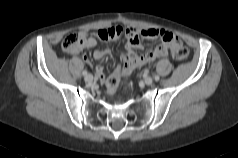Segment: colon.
<instances>
[{
	"mask_svg": "<svg viewBox=\"0 0 238 158\" xmlns=\"http://www.w3.org/2000/svg\"><path fill=\"white\" fill-rule=\"evenodd\" d=\"M98 36L102 40H108L115 36L114 32L111 29H104L98 32ZM83 40L78 33H70L68 34L62 43V49L66 53H78L82 49ZM172 57L177 61H183L188 57V50L187 48L181 44L179 41H175L170 49ZM134 58L132 57L131 61ZM119 83L116 81L111 82L112 87L115 89L117 88Z\"/></svg>",
	"mask_w": 238,
	"mask_h": 158,
	"instance_id": "colon-1",
	"label": "colon"
}]
</instances>
